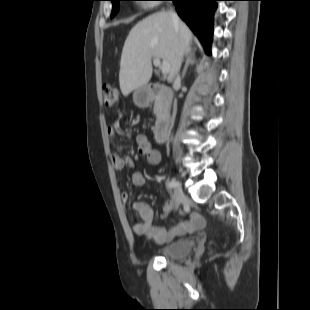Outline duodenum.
Here are the masks:
<instances>
[{"label": "duodenum", "instance_id": "obj_1", "mask_svg": "<svg viewBox=\"0 0 310 310\" xmlns=\"http://www.w3.org/2000/svg\"><path fill=\"white\" fill-rule=\"evenodd\" d=\"M144 104H149L155 100L158 102V116L154 128V139L157 143H162L172 121L171 103L173 93L167 87L160 84H152L147 92L142 94Z\"/></svg>", "mask_w": 310, "mask_h": 310}]
</instances>
